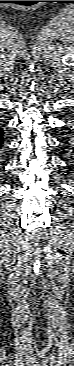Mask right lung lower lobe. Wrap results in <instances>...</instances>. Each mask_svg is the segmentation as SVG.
<instances>
[{
	"mask_svg": "<svg viewBox=\"0 0 74 366\" xmlns=\"http://www.w3.org/2000/svg\"><path fill=\"white\" fill-rule=\"evenodd\" d=\"M3 135H4V130H3V128L1 127V124H0V151H1V148L3 147V144H4V138H3Z\"/></svg>",
	"mask_w": 74,
	"mask_h": 366,
	"instance_id": "1",
	"label": "right lung lower lobe"
}]
</instances>
